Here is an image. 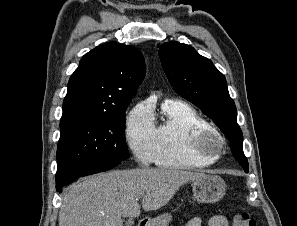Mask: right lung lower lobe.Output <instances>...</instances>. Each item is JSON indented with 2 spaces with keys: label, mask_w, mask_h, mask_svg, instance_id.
Instances as JSON below:
<instances>
[{
  "label": "right lung lower lobe",
  "mask_w": 297,
  "mask_h": 226,
  "mask_svg": "<svg viewBox=\"0 0 297 226\" xmlns=\"http://www.w3.org/2000/svg\"><path fill=\"white\" fill-rule=\"evenodd\" d=\"M119 163L118 161L109 160L93 161L59 170L56 174V190L61 193L65 185L72 183L77 178L110 170Z\"/></svg>",
  "instance_id": "1"
}]
</instances>
